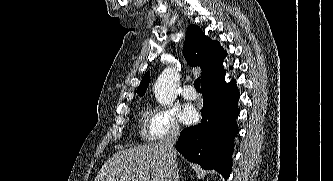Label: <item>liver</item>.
<instances>
[{"mask_svg": "<svg viewBox=\"0 0 333 181\" xmlns=\"http://www.w3.org/2000/svg\"><path fill=\"white\" fill-rule=\"evenodd\" d=\"M168 169L164 148L161 143H153L118 151L94 181H166Z\"/></svg>", "mask_w": 333, "mask_h": 181, "instance_id": "obj_1", "label": "liver"}]
</instances>
